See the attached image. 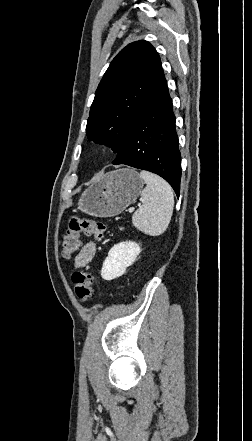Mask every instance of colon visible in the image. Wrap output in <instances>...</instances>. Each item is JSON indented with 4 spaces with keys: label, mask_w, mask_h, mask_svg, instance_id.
<instances>
[{
    "label": "colon",
    "mask_w": 252,
    "mask_h": 441,
    "mask_svg": "<svg viewBox=\"0 0 252 441\" xmlns=\"http://www.w3.org/2000/svg\"><path fill=\"white\" fill-rule=\"evenodd\" d=\"M105 230L106 227L102 222L72 218L62 239L63 256L70 257L79 249L81 235L101 240ZM72 282L76 296L83 302L87 301L92 293L93 275L86 271L77 270L72 274Z\"/></svg>",
    "instance_id": "colon-1"
}]
</instances>
